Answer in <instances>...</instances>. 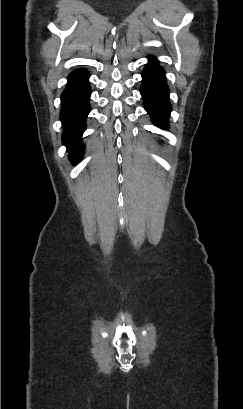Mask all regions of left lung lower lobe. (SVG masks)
Returning <instances> with one entry per match:
<instances>
[{"mask_svg":"<svg viewBox=\"0 0 243 409\" xmlns=\"http://www.w3.org/2000/svg\"><path fill=\"white\" fill-rule=\"evenodd\" d=\"M145 110L153 122L160 128L168 126V116L171 111L169 103V89L166 83L165 72L158 65L156 59H150L142 72L140 88Z\"/></svg>","mask_w":243,"mask_h":409,"instance_id":"left-lung-lower-lobe-1","label":"left lung lower lobe"}]
</instances>
